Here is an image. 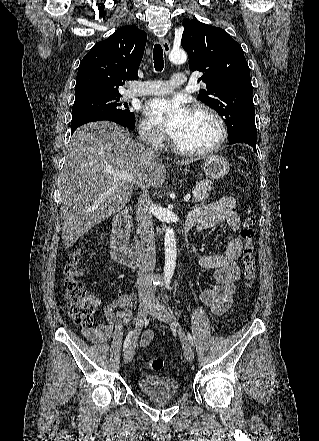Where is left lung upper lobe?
<instances>
[{
  "instance_id": "left-lung-upper-lobe-1",
  "label": "left lung upper lobe",
  "mask_w": 319,
  "mask_h": 441,
  "mask_svg": "<svg viewBox=\"0 0 319 441\" xmlns=\"http://www.w3.org/2000/svg\"><path fill=\"white\" fill-rule=\"evenodd\" d=\"M181 45L192 71H202L206 83L198 99L218 112L227 125L229 140L244 135L257 138L255 108L248 63L241 45L223 29L186 20Z\"/></svg>"
}]
</instances>
